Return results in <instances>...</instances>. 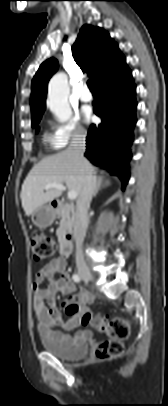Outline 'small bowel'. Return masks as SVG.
Listing matches in <instances>:
<instances>
[{
    "mask_svg": "<svg viewBox=\"0 0 168 406\" xmlns=\"http://www.w3.org/2000/svg\"><path fill=\"white\" fill-rule=\"evenodd\" d=\"M32 287L33 308L42 337L69 346L85 336V333L77 332L75 337H71L56 329L62 327L69 331L78 327L82 322L81 315L89 312L86 306L93 302V296L86 290L81 289L77 294L72 295L76 291V286L66 271V260L63 257L55 258L41 268L36 274ZM57 290L64 295H72L61 303V307L65 310L75 309V313L67 321L62 319L60 308L56 305Z\"/></svg>",
    "mask_w": 168,
    "mask_h": 406,
    "instance_id": "c3829d8e",
    "label": "small bowel"
}]
</instances>
